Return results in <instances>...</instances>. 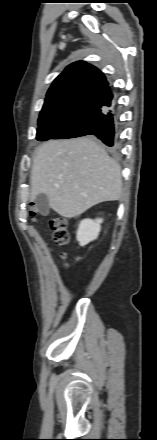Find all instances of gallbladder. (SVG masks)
<instances>
[{"label": "gallbladder", "instance_id": "1", "mask_svg": "<svg viewBox=\"0 0 157 440\" xmlns=\"http://www.w3.org/2000/svg\"><path fill=\"white\" fill-rule=\"evenodd\" d=\"M35 204L40 214L47 215L49 213V200L45 194H38L35 198Z\"/></svg>", "mask_w": 157, "mask_h": 440}]
</instances>
